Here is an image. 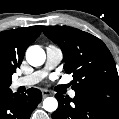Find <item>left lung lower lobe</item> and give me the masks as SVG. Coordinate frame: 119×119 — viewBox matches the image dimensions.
Listing matches in <instances>:
<instances>
[{
  "label": "left lung lower lobe",
  "instance_id": "left-lung-lower-lobe-1",
  "mask_svg": "<svg viewBox=\"0 0 119 119\" xmlns=\"http://www.w3.org/2000/svg\"><path fill=\"white\" fill-rule=\"evenodd\" d=\"M58 109L52 119H118L119 97L76 92L73 99L55 95Z\"/></svg>",
  "mask_w": 119,
  "mask_h": 119
}]
</instances>
